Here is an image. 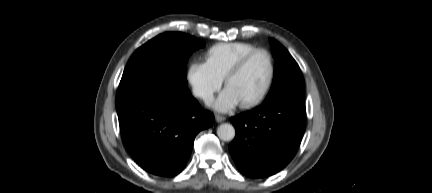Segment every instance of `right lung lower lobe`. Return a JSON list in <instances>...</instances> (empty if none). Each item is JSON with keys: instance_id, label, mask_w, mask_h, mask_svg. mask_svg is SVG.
I'll return each mask as SVG.
<instances>
[{"instance_id": "obj_1", "label": "right lung lower lobe", "mask_w": 432, "mask_h": 193, "mask_svg": "<svg viewBox=\"0 0 432 193\" xmlns=\"http://www.w3.org/2000/svg\"><path fill=\"white\" fill-rule=\"evenodd\" d=\"M120 131L134 160L158 176L183 170L199 131L214 123L191 93L178 94L157 85L120 93L116 101Z\"/></svg>"}]
</instances>
